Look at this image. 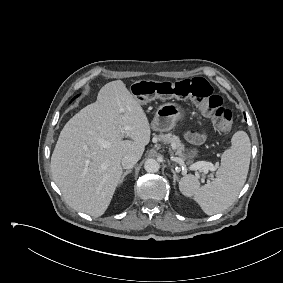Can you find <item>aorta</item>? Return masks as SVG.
Returning <instances> with one entry per match:
<instances>
[{"instance_id":"obj_1","label":"aorta","mask_w":283,"mask_h":283,"mask_svg":"<svg viewBox=\"0 0 283 283\" xmlns=\"http://www.w3.org/2000/svg\"><path fill=\"white\" fill-rule=\"evenodd\" d=\"M144 168L149 173H155L159 171L160 164L157 160L150 158L145 161Z\"/></svg>"}]
</instances>
